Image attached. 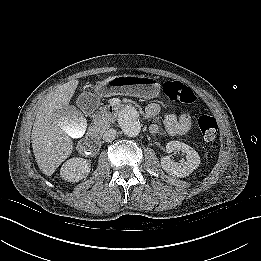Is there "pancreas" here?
I'll use <instances>...</instances> for the list:
<instances>
[{
  "instance_id": "pancreas-1",
  "label": "pancreas",
  "mask_w": 261,
  "mask_h": 261,
  "mask_svg": "<svg viewBox=\"0 0 261 261\" xmlns=\"http://www.w3.org/2000/svg\"><path fill=\"white\" fill-rule=\"evenodd\" d=\"M109 126L110 121L106 116H98L93 123V128L99 133H103Z\"/></svg>"
}]
</instances>
